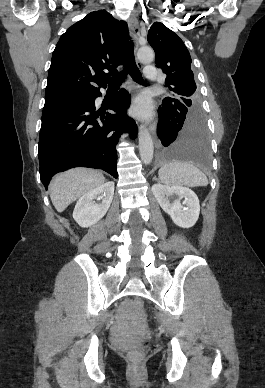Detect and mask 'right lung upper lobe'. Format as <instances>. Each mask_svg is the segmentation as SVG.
I'll return each instance as SVG.
<instances>
[{"instance_id": "right-lung-upper-lobe-1", "label": "right lung upper lobe", "mask_w": 265, "mask_h": 388, "mask_svg": "<svg viewBox=\"0 0 265 388\" xmlns=\"http://www.w3.org/2000/svg\"><path fill=\"white\" fill-rule=\"evenodd\" d=\"M127 43L124 22L102 10L86 15L68 28L53 51L45 100L84 96L106 87L102 77L117 73Z\"/></svg>"}]
</instances>
